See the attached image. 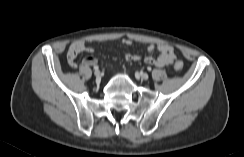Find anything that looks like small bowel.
Instances as JSON below:
<instances>
[{"mask_svg":"<svg viewBox=\"0 0 244 157\" xmlns=\"http://www.w3.org/2000/svg\"><path fill=\"white\" fill-rule=\"evenodd\" d=\"M132 43L133 41L128 38L122 40V44L126 46H130L132 45ZM84 51L91 53L94 51V49L88 47L85 40H77L71 44L67 52V60L71 67L77 66L75 59L79 53ZM155 51L159 53L158 56L156 57L153 55ZM125 58L128 61H134V62H138L141 60V57L139 55L132 54V53H126ZM174 60H175L174 49L168 44L150 45L148 47V55L144 58V61L147 64L159 68L170 65L171 63H173ZM96 63H97V59L92 55H87L83 59V64L88 66L95 65Z\"/></svg>","mask_w":244,"mask_h":157,"instance_id":"c3829d8e","label":"small bowel"}]
</instances>
